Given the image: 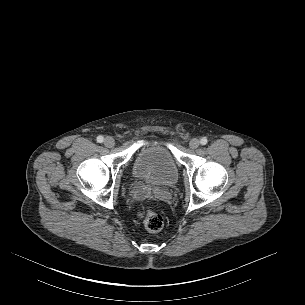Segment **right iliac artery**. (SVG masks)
Returning <instances> with one entry per match:
<instances>
[{
    "label": "right iliac artery",
    "mask_w": 305,
    "mask_h": 305,
    "mask_svg": "<svg viewBox=\"0 0 305 305\" xmlns=\"http://www.w3.org/2000/svg\"><path fill=\"white\" fill-rule=\"evenodd\" d=\"M104 141L103 136H98L97 137V142L102 143Z\"/></svg>",
    "instance_id": "82829eb1"
}]
</instances>
